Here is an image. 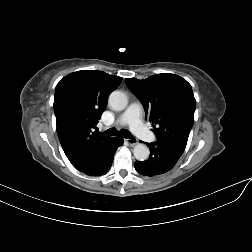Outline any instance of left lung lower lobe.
Segmentation results:
<instances>
[{
    "label": "left lung lower lobe",
    "instance_id": "1",
    "mask_svg": "<svg viewBox=\"0 0 252 252\" xmlns=\"http://www.w3.org/2000/svg\"><path fill=\"white\" fill-rule=\"evenodd\" d=\"M150 156L145 161H136L135 169L144 176L153 177L171 170L184 150L167 142L147 143Z\"/></svg>",
    "mask_w": 252,
    "mask_h": 252
}]
</instances>
